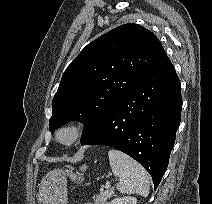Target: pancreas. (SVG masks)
<instances>
[{
	"label": "pancreas",
	"instance_id": "pancreas-1",
	"mask_svg": "<svg viewBox=\"0 0 212 204\" xmlns=\"http://www.w3.org/2000/svg\"><path fill=\"white\" fill-rule=\"evenodd\" d=\"M114 195V189H107L105 191H101L99 195L94 197L93 204H106V201Z\"/></svg>",
	"mask_w": 212,
	"mask_h": 204
}]
</instances>
